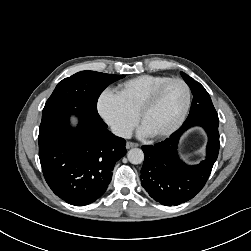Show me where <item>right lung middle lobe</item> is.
<instances>
[{"label":"right lung middle lobe","instance_id":"obj_1","mask_svg":"<svg viewBox=\"0 0 251 251\" xmlns=\"http://www.w3.org/2000/svg\"><path fill=\"white\" fill-rule=\"evenodd\" d=\"M125 75L81 71L58 83L47 100L43 111L66 104L84 105L97 110V100L102 91Z\"/></svg>","mask_w":251,"mask_h":251}]
</instances>
